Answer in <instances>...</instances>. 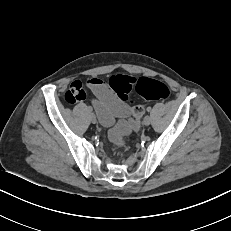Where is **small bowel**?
<instances>
[{
	"mask_svg": "<svg viewBox=\"0 0 231 231\" xmlns=\"http://www.w3.org/2000/svg\"><path fill=\"white\" fill-rule=\"evenodd\" d=\"M87 88L92 92V104L101 123L105 126L112 125L118 118L133 116L135 108L128 106L115 92L98 78L86 81ZM86 98L83 84L74 80L66 92V100L71 103L82 101Z\"/></svg>",
	"mask_w": 231,
	"mask_h": 231,
	"instance_id": "obj_1",
	"label": "small bowel"
}]
</instances>
